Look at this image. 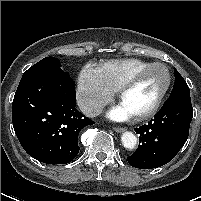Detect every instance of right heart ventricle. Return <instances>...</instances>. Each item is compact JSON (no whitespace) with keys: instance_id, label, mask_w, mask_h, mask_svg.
I'll use <instances>...</instances> for the list:
<instances>
[{"instance_id":"obj_1","label":"right heart ventricle","mask_w":201,"mask_h":201,"mask_svg":"<svg viewBox=\"0 0 201 201\" xmlns=\"http://www.w3.org/2000/svg\"><path fill=\"white\" fill-rule=\"evenodd\" d=\"M150 64L139 59L127 58L104 62L97 69L107 86L117 92L130 76Z\"/></svg>"}]
</instances>
